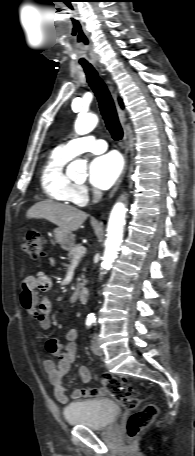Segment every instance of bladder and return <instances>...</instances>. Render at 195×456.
I'll use <instances>...</instances> for the list:
<instances>
[{
  "mask_svg": "<svg viewBox=\"0 0 195 456\" xmlns=\"http://www.w3.org/2000/svg\"><path fill=\"white\" fill-rule=\"evenodd\" d=\"M120 414V406L110 399L74 402L63 410L64 419L68 424L85 426L93 430L110 428Z\"/></svg>",
  "mask_w": 195,
  "mask_h": 456,
  "instance_id": "bladder-1",
  "label": "bladder"
}]
</instances>
